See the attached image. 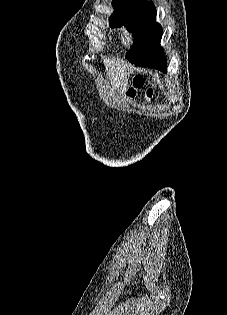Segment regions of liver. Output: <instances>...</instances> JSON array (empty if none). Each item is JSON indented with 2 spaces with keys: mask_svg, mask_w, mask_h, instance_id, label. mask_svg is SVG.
Here are the masks:
<instances>
[{
  "mask_svg": "<svg viewBox=\"0 0 227 315\" xmlns=\"http://www.w3.org/2000/svg\"><path fill=\"white\" fill-rule=\"evenodd\" d=\"M104 64L112 90L124 95L128 90V78L132 72L131 66L119 59H105Z\"/></svg>",
  "mask_w": 227,
  "mask_h": 315,
  "instance_id": "obj_1",
  "label": "liver"
}]
</instances>
